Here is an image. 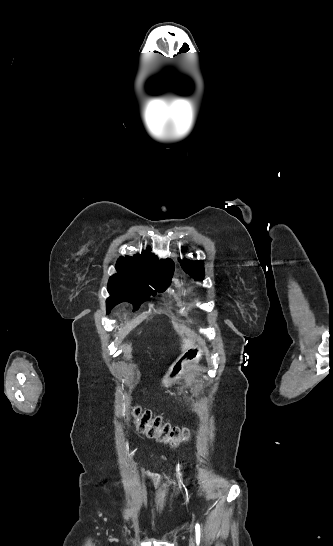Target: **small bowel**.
I'll return each mask as SVG.
<instances>
[{"label": "small bowel", "instance_id": "small-bowel-1", "mask_svg": "<svg viewBox=\"0 0 333 546\" xmlns=\"http://www.w3.org/2000/svg\"><path fill=\"white\" fill-rule=\"evenodd\" d=\"M166 459V457H164ZM144 478L150 483L152 486L157 487L159 486L165 479V476L158 473H145L143 472Z\"/></svg>", "mask_w": 333, "mask_h": 546}]
</instances>
